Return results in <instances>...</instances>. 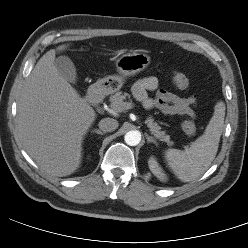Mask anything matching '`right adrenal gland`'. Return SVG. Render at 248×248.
<instances>
[{
    "label": "right adrenal gland",
    "instance_id": "2a0ac1e0",
    "mask_svg": "<svg viewBox=\"0 0 248 248\" xmlns=\"http://www.w3.org/2000/svg\"><path fill=\"white\" fill-rule=\"evenodd\" d=\"M92 132H93V133H96V134H99V135H104V134H105V132H102V131L99 130V129H94Z\"/></svg>",
    "mask_w": 248,
    "mask_h": 248
}]
</instances>
